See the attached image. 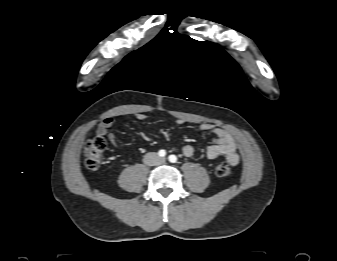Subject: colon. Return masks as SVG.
I'll use <instances>...</instances> for the list:
<instances>
[{
    "instance_id": "1",
    "label": "colon",
    "mask_w": 337,
    "mask_h": 261,
    "mask_svg": "<svg viewBox=\"0 0 337 261\" xmlns=\"http://www.w3.org/2000/svg\"><path fill=\"white\" fill-rule=\"evenodd\" d=\"M106 152V141L98 136L87 142L84 148L85 164L88 169L96 170L101 165ZM215 174L218 177H226L230 174V166L227 162H220L215 166Z\"/></svg>"
}]
</instances>
